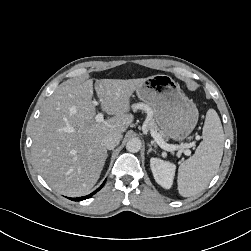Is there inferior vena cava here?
I'll return each mask as SVG.
<instances>
[{"instance_id": "obj_1", "label": "inferior vena cava", "mask_w": 251, "mask_h": 251, "mask_svg": "<svg viewBox=\"0 0 251 251\" xmlns=\"http://www.w3.org/2000/svg\"><path fill=\"white\" fill-rule=\"evenodd\" d=\"M120 135L119 134H113V135H108L107 137L104 138V146L111 150L114 149L120 142Z\"/></svg>"}]
</instances>
